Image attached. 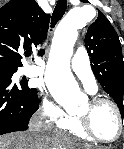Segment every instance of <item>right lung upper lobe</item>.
<instances>
[{
	"label": "right lung upper lobe",
	"instance_id": "cb5924a9",
	"mask_svg": "<svg viewBox=\"0 0 124 149\" xmlns=\"http://www.w3.org/2000/svg\"><path fill=\"white\" fill-rule=\"evenodd\" d=\"M50 15L35 0H10L0 8V68L22 66L21 53L29 56L44 40Z\"/></svg>",
	"mask_w": 124,
	"mask_h": 149
}]
</instances>
